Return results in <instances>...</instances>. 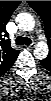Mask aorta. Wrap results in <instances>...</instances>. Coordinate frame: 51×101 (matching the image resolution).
I'll use <instances>...</instances> for the list:
<instances>
[{
    "mask_svg": "<svg viewBox=\"0 0 51 101\" xmlns=\"http://www.w3.org/2000/svg\"><path fill=\"white\" fill-rule=\"evenodd\" d=\"M16 23L20 30L31 31L35 27L34 18L28 13H20L16 17ZM48 55V46L46 43L39 42L34 49V56L38 59H44Z\"/></svg>",
    "mask_w": 51,
    "mask_h": 101,
    "instance_id": "aorta-1",
    "label": "aorta"
}]
</instances>
